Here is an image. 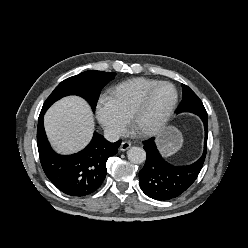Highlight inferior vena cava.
<instances>
[{
    "label": "inferior vena cava",
    "mask_w": 248,
    "mask_h": 248,
    "mask_svg": "<svg viewBox=\"0 0 248 248\" xmlns=\"http://www.w3.org/2000/svg\"><path fill=\"white\" fill-rule=\"evenodd\" d=\"M104 137L109 142H116L120 138V133L112 128H107L104 130Z\"/></svg>",
    "instance_id": "inferior-vena-cava-1"
}]
</instances>
